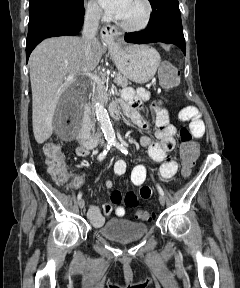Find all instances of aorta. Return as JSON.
Returning a JSON list of instances; mask_svg holds the SVG:
<instances>
[{"label": "aorta", "instance_id": "1", "mask_svg": "<svg viewBox=\"0 0 240 288\" xmlns=\"http://www.w3.org/2000/svg\"><path fill=\"white\" fill-rule=\"evenodd\" d=\"M95 113L104 133L105 139L107 141H113L115 139V131L112 127L108 112L102 103L97 102L95 104Z\"/></svg>", "mask_w": 240, "mask_h": 288}]
</instances>
